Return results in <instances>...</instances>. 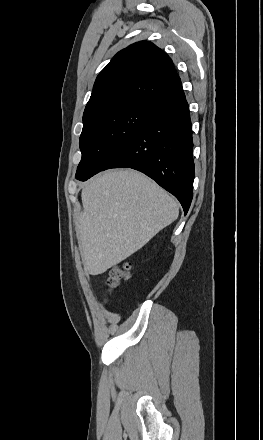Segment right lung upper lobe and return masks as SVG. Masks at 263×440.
Instances as JSON below:
<instances>
[{
    "instance_id": "right-lung-upper-lobe-1",
    "label": "right lung upper lobe",
    "mask_w": 263,
    "mask_h": 440,
    "mask_svg": "<svg viewBox=\"0 0 263 440\" xmlns=\"http://www.w3.org/2000/svg\"><path fill=\"white\" fill-rule=\"evenodd\" d=\"M182 87L172 60L149 41L118 52L97 76L83 121L130 103L154 105Z\"/></svg>"
}]
</instances>
